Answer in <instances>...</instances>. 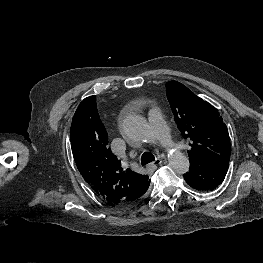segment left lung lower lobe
Segmentation results:
<instances>
[{"label": "left lung lower lobe", "instance_id": "0a47b994", "mask_svg": "<svg viewBox=\"0 0 263 263\" xmlns=\"http://www.w3.org/2000/svg\"><path fill=\"white\" fill-rule=\"evenodd\" d=\"M229 163L221 162L212 165L190 163L189 171L184 179L189 186L200 191H210L218 187L224 180Z\"/></svg>", "mask_w": 263, "mask_h": 263}]
</instances>
